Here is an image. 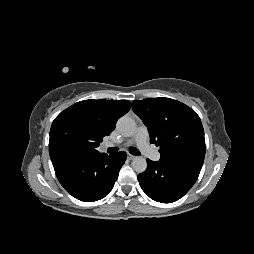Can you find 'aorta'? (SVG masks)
Listing matches in <instances>:
<instances>
[{
  "label": "aorta",
  "instance_id": "1",
  "mask_svg": "<svg viewBox=\"0 0 254 254\" xmlns=\"http://www.w3.org/2000/svg\"><path fill=\"white\" fill-rule=\"evenodd\" d=\"M116 127L122 135L129 137L134 134L136 123L131 117L123 116L117 121ZM131 164L137 173H142L147 168L146 159L141 156L134 157Z\"/></svg>",
  "mask_w": 254,
  "mask_h": 254
}]
</instances>
